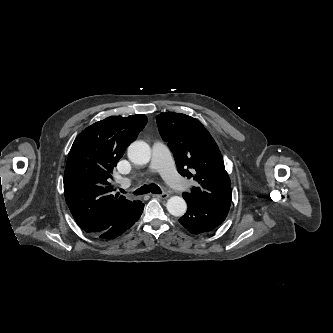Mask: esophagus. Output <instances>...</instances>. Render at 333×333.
I'll list each match as a JSON object with an SVG mask.
<instances>
[{"label": "esophagus", "mask_w": 333, "mask_h": 333, "mask_svg": "<svg viewBox=\"0 0 333 333\" xmlns=\"http://www.w3.org/2000/svg\"><path fill=\"white\" fill-rule=\"evenodd\" d=\"M153 197H157L160 199H167L169 197L168 193H162V194H153Z\"/></svg>", "instance_id": "34e87169"}]
</instances>
